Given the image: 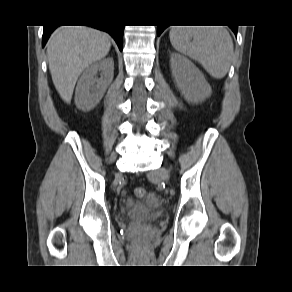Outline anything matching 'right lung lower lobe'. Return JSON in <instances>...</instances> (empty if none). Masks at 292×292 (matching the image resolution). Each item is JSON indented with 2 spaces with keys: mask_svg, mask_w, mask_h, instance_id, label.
<instances>
[{
  "mask_svg": "<svg viewBox=\"0 0 292 292\" xmlns=\"http://www.w3.org/2000/svg\"><path fill=\"white\" fill-rule=\"evenodd\" d=\"M97 29L108 32L116 41L120 50H122L123 43V31L124 26H116V25H93ZM56 28V26H44L43 30V38H42V46L45 45L52 31Z\"/></svg>",
  "mask_w": 292,
  "mask_h": 292,
  "instance_id": "obj_1",
  "label": "right lung lower lobe"
}]
</instances>
